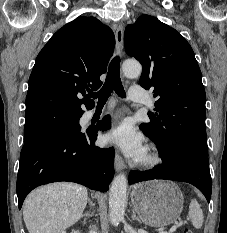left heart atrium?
I'll list each match as a JSON object with an SVG mask.
<instances>
[{
	"mask_svg": "<svg viewBox=\"0 0 227 233\" xmlns=\"http://www.w3.org/2000/svg\"><path fill=\"white\" fill-rule=\"evenodd\" d=\"M106 141L134 159L142 158L146 152L144 137L129 120L112 127L106 135Z\"/></svg>",
	"mask_w": 227,
	"mask_h": 233,
	"instance_id": "obj_1",
	"label": "left heart atrium"
}]
</instances>
